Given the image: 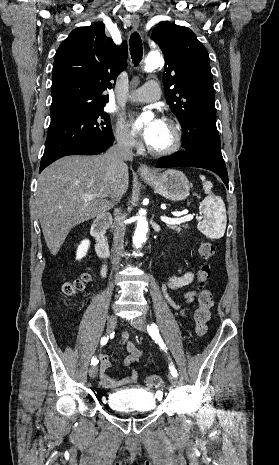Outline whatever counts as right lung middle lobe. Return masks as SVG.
<instances>
[{
    "label": "right lung middle lobe",
    "instance_id": "1",
    "mask_svg": "<svg viewBox=\"0 0 279 465\" xmlns=\"http://www.w3.org/2000/svg\"><path fill=\"white\" fill-rule=\"evenodd\" d=\"M103 108H95L50 124L40 165L79 145L113 141L110 117Z\"/></svg>",
    "mask_w": 279,
    "mask_h": 465
}]
</instances>
